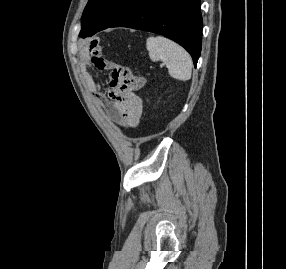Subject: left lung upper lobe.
Returning <instances> with one entry per match:
<instances>
[{
    "label": "left lung upper lobe",
    "mask_w": 286,
    "mask_h": 269,
    "mask_svg": "<svg viewBox=\"0 0 286 269\" xmlns=\"http://www.w3.org/2000/svg\"><path fill=\"white\" fill-rule=\"evenodd\" d=\"M142 0H89L81 19L79 36L87 37L115 23Z\"/></svg>",
    "instance_id": "5c2ea615"
}]
</instances>
